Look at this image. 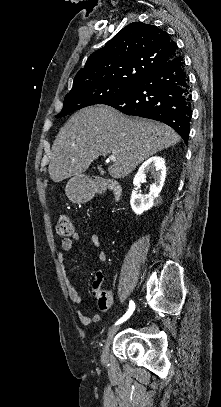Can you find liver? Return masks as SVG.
<instances>
[{
  "label": "liver",
  "mask_w": 221,
  "mask_h": 407,
  "mask_svg": "<svg viewBox=\"0 0 221 407\" xmlns=\"http://www.w3.org/2000/svg\"><path fill=\"white\" fill-rule=\"evenodd\" d=\"M179 135L163 123L127 117L116 109L97 105L76 112L59 131L48 167L53 182L80 176L99 156L114 155L108 168L112 178L129 175L157 152L176 145Z\"/></svg>",
  "instance_id": "obj_1"
}]
</instances>
